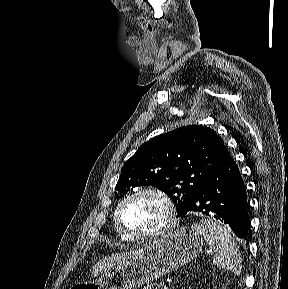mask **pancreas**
I'll list each match as a JSON object with an SVG mask.
<instances>
[{
	"mask_svg": "<svg viewBox=\"0 0 288 289\" xmlns=\"http://www.w3.org/2000/svg\"><path fill=\"white\" fill-rule=\"evenodd\" d=\"M143 289H157V287L154 288V285H147Z\"/></svg>",
	"mask_w": 288,
	"mask_h": 289,
	"instance_id": "pancreas-1",
	"label": "pancreas"
}]
</instances>
